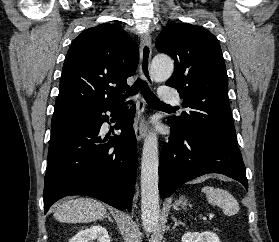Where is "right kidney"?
<instances>
[{
    "mask_svg": "<svg viewBox=\"0 0 279 242\" xmlns=\"http://www.w3.org/2000/svg\"><path fill=\"white\" fill-rule=\"evenodd\" d=\"M92 240L111 242L106 228L101 225H92L89 228L80 230L69 242H90Z\"/></svg>",
    "mask_w": 279,
    "mask_h": 242,
    "instance_id": "right-kidney-1",
    "label": "right kidney"
}]
</instances>
